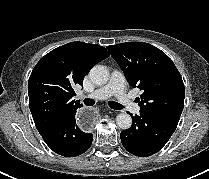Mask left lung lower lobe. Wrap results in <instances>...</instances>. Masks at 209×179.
<instances>
[{"instance_id": "1", "label": "left lung lower lobe", "mask_w": 209, "mask_h": 179, "mask_svg": "<svg viewBox=\"0 0 209 179\" xmlns=\"http://www.w3.org/2000/svg\"><path fill=\"white\" fill-rule=\"evenodd\" d=\"M180 117L140 110L132 126L121 132L123 147L133 155L147 157L160 151L174 133Z\"/></svg>"}]
</instances>
